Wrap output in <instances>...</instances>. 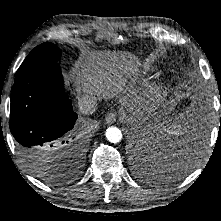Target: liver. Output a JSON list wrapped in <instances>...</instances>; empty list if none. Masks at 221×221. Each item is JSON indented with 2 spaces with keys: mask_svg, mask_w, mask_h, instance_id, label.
Wrapping results in <instances>:
<instances>
[{
  "mask_svg": "<svg viewBox=\"0 0 221 221\" xmlns=\"http://www.w3.org/2000/svg\"><path fill=\"white\" fill-rule=\"evenodd\" d=\"M137 58L127 52H89L74 65L73 79L78 93L96 98L120 97L137 71ZM53 157L43 156L39 166L49 168Z\"/></svg>",
  "mask_w": 221,
  "mask_h": 221,
  "instance_id": "liver-1",
  "label": "liver"
}]
</instances>
